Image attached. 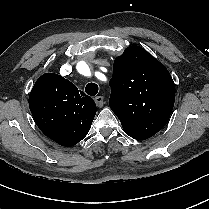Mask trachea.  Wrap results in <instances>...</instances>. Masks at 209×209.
<instances>
[{"label":"trachea","mask_w":209,"mask_h":209,"mask_svg":"<svg viewBox=\"0 0 209 209\" xmlns=\"http://www.w3.org/2000/svg\"><path fill=\"white\" fill-rule=\"evenodd\" d=\"M98 85L96 83H88L85 87V92L90 96H95L98 93Z\"/></svg>","instance_id":"3493384b"}]
</instances>
